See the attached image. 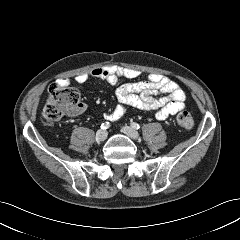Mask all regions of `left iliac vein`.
<instances>
[{"instance_id": "4c4485c4", "label": "left iliac vein", "mask_w": 240, "mask_h": 240, "mask_svg": "<svg viewBox=\"0 0 240 240\" xmlns=\"http://www.w3.org/2000/svg\"><path fill=\"white\" fill-rule=\"evenodd\" d=\"M122 132L128 137H130L131 139L136 140L139 138V133L132 127L124 126L122 127Z\"/></svg>"}]
</instances>
